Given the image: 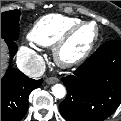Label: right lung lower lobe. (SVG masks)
<instances>
[{"label":"right lung lower lobe","instance_id":"98d812e1","mask_svg":"<svg viewBox=\"0 0 121 121\" xmlns=\"http://www.w3.org/2000/svg\"><path fill=\"white\" fill-rule=\"evenodd\" d=\"M9 47L10 57L17 52L13 40H5ZM25 76L15 68H9L1 79V121H20L28 109L30 93L42 83Z\"/></svg>","mask_w":121,"mask_h":121}]
</instances>
